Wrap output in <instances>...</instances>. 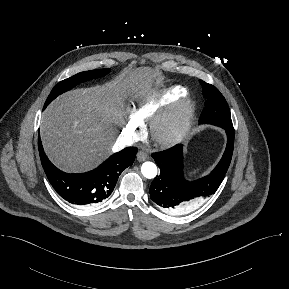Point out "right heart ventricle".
I'll use <instances>...</instances> for the list:
<instances>
[{"label":"right heart ventricle","mask_w":289,"mask_h":289,"mask_svg":"<svg viewBox=\"0 0 289 289\" xmlns=\"http://www.w3.org/2000/svg\"><path fill=\"white\" fill-rule=\"evenodd\" d=\"M184 94V88L180 86L171 87L155 97H150L140 102L134 109V117L139 122H144L153 117L163 107L167 106Z\"/></svg>","instance_id":"1"}]
</instances>
